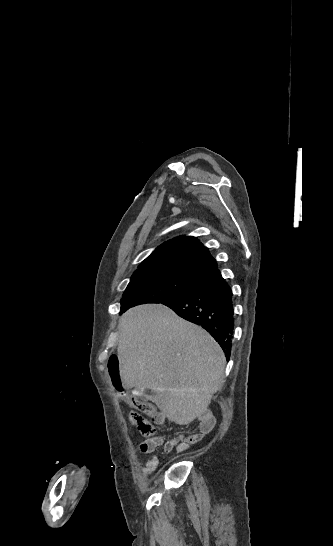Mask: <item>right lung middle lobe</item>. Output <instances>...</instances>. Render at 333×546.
Here are the masks:
<instances>
[{
	"label": "right lung middle lobe",
	"instance_id": "dd1d6c3e",
	"mask_svg": "<svg viewBox=\"0 0 333 546\" xmlns=\"http://www.w3.org/2000/svg\"><path fill=\"white\" fill-rule=\"evenodd\" d=\"M201 280L167 273L137 274L131 277L121 299L120 314L143 303H161L190 292Z\"/></svg>",
	"mask_w": 333,
	"mask_h": 546
}]
</instances>
